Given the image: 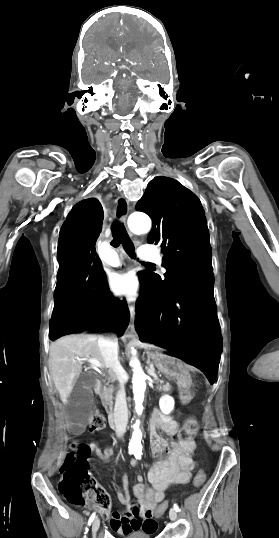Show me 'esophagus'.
Segmentation results:
<instances>
[{
	"mask_svg": "<svg viewBox=\"0 0 279 538\" xmlns=\"http://www.w3.org/2000/svg\"><path fill=\"white\" fill-rule=\"evenodd\" d=\"M128 214H129L128 200H126V198H124L123 196L118 197L116 200V207H115L116 220L120 223L125 222ZM129 309H130V314H131L130 324L124 336L127 338H136L137 333L135 331V326H134L135 309L132 305L129 307Z\"/></svg>",
	"mask_w": 279,
	"mask_h": 538,
	"instance_id": "34e87169",
	"label": "esophagus"
}]
</instances>
